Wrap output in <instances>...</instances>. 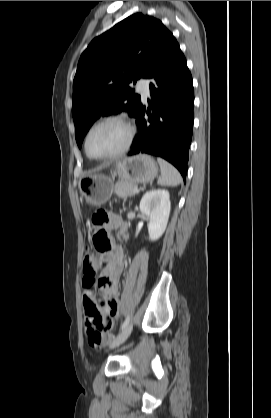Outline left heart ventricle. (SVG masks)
Returning <instances> with one entry per match:
<instances>
[{"mask_svg":"<svg viewBox=\"0 0 271 418\" xmlns=\"http://www.w3.org/2000/svg\"><path fill=\"white\" fill-rule=\"evenodd\" d=\"M127 139L126 128L118 122H108L97 127L88 142L93 156H104L119 150Z\"/></svg>","mask_w":271,"mask_h":418,"instance_id":"1","label":"left heart ventricle"}]
</instances>
